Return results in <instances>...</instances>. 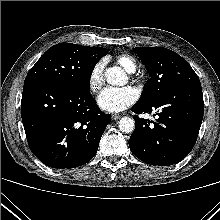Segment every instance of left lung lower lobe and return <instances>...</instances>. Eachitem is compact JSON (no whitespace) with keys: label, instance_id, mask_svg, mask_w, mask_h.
<instances>
[{"label":"left lung lower lobe","instance_id":"1","mask_svg":"<svg viewBox=\"0 0 220 220\" xmlns=\"http://www.w3.org/2000/svg\"><path fill=\"white\" fill-rule=\"evenodd\" d=\"M131 110L136 114L157 110L155 121L134 116L136 127L129 139L132 153L147 164H176L197 140L203 119L201 84L183 85L151 103H136Z\"/></svg>","mask_w":220,"mask_h":220}]
</instances>
